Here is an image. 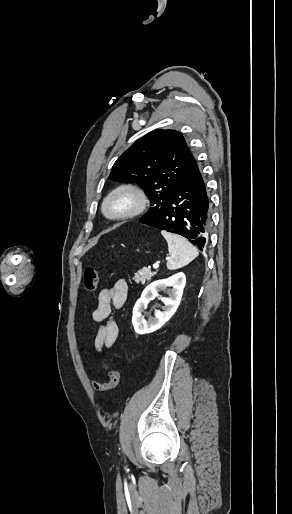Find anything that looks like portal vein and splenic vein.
Returning a JSON list of instances; mask_svg holds the SVG:
<instances>
[{
	"mask_svg": "<svg viewBox=\"0 0 292 514\" xmlns=\"http://www.w3.org/2000/svg\"><path fill=\"white\" fill-rule=\"evenodd\" d=\"M154 268H159V264H154Z\"/></svg>",
	"mask_w": 292,
	"mask_h": 514,
	"instance_id": "18ae733b",
	"label": "portal vein and splenic vein"
}]
</instances>
